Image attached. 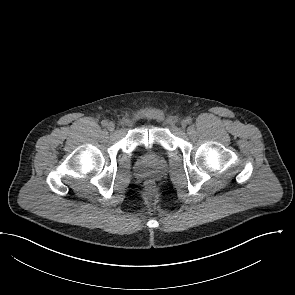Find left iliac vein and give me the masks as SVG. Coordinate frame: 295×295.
Masks as SVG:
<instances>
[{"instance_id": "4c4485c4", "label": "left iliac vein", "mask_w": 295, "mask_h": 295, "mask_svg": "<svg viewBox=\"0 0 295 295\" xmlns=\"http://www.w3.org/2000/svg\"><path fill=\"white\" fill-rule=\"evenodd\" d=\"M187 121L186 120H182L181 125L183 128H185L187 126Z\"/></svg>"}]
</instances>
